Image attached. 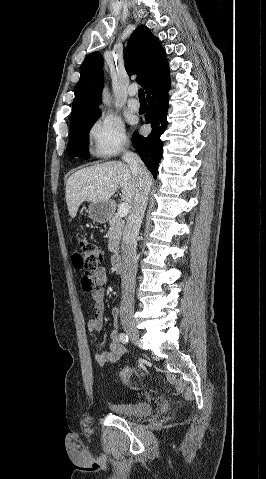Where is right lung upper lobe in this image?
Segmentation results:
<instances>
[{
	"label": "right lung upper lobe",
	"mask_w": 266,
	"mask_h": 479,
	"mask_svg": "<svg viewBox=\"0 0 266 479\" xmlns=\"http://www.w3.org/2000/svg\"><path fill=\"white\" fill-rule=\"evenodd\" d=\"M128 75L138 74L136 81L146 94L169 78L165 50L151 31L140 25L132 33L125 53ZM103 57L96 51L88 55L82 65L80 80L75 89L71 121L101 114L98 101L103 87Z\"/></svg>",
	"instance_id": "right-lung-upper-lobe-1"
}]
</instances>
